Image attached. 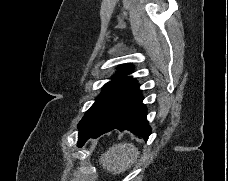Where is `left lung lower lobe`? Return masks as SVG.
<instances>
[{"label": "left lung lower lobe", "mask_w": 228, "mask_h": 181, "mask_svg": "<svg viewBox=\"0 0 228 181\" xmlns=\"http://www.w3.org/2000/svg\"><path fill=\"white\" fill-rule=\"evenodd\" d=\"M142 101L143 96L141 95V91L138 87L133 94L120 122L107 128L102 127L79 132L78 147H82L89 138H97L113 129L129 130L133 134L143 137L144 140H148L151 128L147 122L146 106L142 103Z\"/></svg>", "instance_id": "1"}]
</instances>
